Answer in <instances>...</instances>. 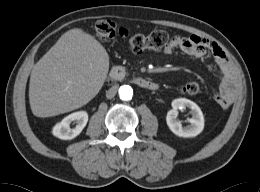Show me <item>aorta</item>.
<instances>
[{
    "label": "aorta",
    "instance_id": "762f6f07",
    "mask_svg": "<svg viewBox=\"0 0 260 192\" xmlns=\"http://www.w3.org/2000/svg\"><path fill=\"white\" fill-rule=\"evenodd\" d=\"M119 97L123 101H128L132 99L133 89L129 85H123L119 88Z\"/></svg>",
    "mask_w": 260,
    "mask_h": 192
}]
</instances>
